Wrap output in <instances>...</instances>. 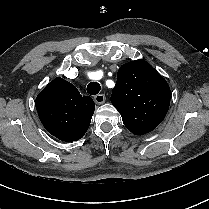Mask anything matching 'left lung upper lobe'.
I'll use <instances>...</instances> for the list:
<instances>
[{
    "label": "left lung upper lobe",
    "instance_id": "obj_1",
    "mask_svg": "<svg viewBox=\"0 0 209 209\" xmlns=\"http://www.w3.org/2000/svg\"><path fill=\"white\" fill-rule=\"evenodd\" d=\"M111 103L130 132L144 135L164 119L170 104V88L148 62L131 61L117 72Z\"/></svg>",
    "mask_w": 209,
    "mask_h": 209
}]
</instances>
